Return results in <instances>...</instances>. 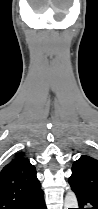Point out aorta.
I'll list each match as a JSON object with an SVG mask.
<instances>
[{
  "label": "aorta",
  "instance_id": "1",
  "mask_svg": "<svg viewBox=\"0 0 98 209\" xmlns=\"http://www.w3.org/2000/svg\"><path fill=\"white\" fill-rule=\"evenodd\" d=\"M64 208H78V201L74 192L69 191L65 196Z\"/></svg>",
  "mask_w": 98,
  "mask_h": 209
}]
</instances>
